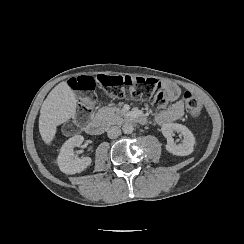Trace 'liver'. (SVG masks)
<instances>
[{"mask_svg":"<svg viewBox=\"0 0 244 244\" xmlns=\"http://www.w3.org/2000/svg\"><path fill=\"white\" fill-rule=\"evenodd\" d=\"M76 105L75 93L67 82H61L51 90L41 106L39 117V132L46 144L53 140L56 127L75 114Z\"/></svg>","mask_w":244,"mask_h":244,"instance_id":"obj_1","label":"liver"}]
</instances>
